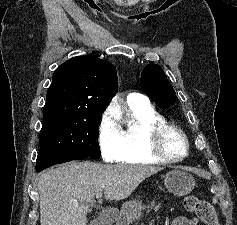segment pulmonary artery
Instances as JSON below:
<instances>
[{
  "mask_svg": "<svg viewBox=\"0 0 237 225\" xmlns=\"http://www.w3.org/2000/svg\"><path fill=\"white\" fill-rule=\"evenodd\" d=\"M141 101H146V98L139 93L132 92L127 96L128 105H132Z\"/></svg>",
  "mask_w": 237,
  "mask_h": 225,
  "instance_id": "e3ab8cb5",
  "label": "pulmonary artery"
}]
</instances>
